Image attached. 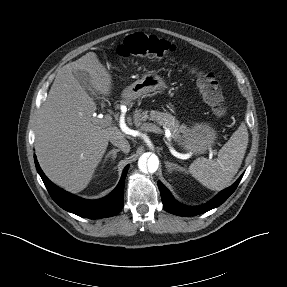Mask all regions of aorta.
Segmentation results:
<instances>
[{"mask_svg": "<svg viewBox=\"0 0 287 287\" xmlns=\"http://www.w3.org/2000/svg\"><path fill=\"white\" fill-rule=\"evenodd\" d=\"M138 166L142 172L154 173L158 169L159 159L155 154L141 156L138 161Z\"/></svg>", "mask_w": 287, "mask_h": 287, "instance_id": "762f6f07", "label": "aorta"}]
</instances>
